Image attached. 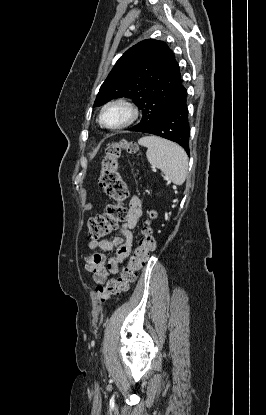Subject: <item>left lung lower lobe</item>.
Segmentation results:
<instances>
[{
    "mask_svg": "<svg viewBox=\"0 0 266 415\" xmlns=\"http://www.w3.org/2000/svg\"><path fill=\"white\" fill-rule=\"evenodd\" d=\"M141 132L158 135L177 142L189 155L190 128L188 122L186 89H183L180 96L160 119Z\"/></svg>",
    "mask_w": 266,
    "mask_h": 415,
    "instance_id": "left-lung-lower-lobe-1",
    "label": "left lung lower lobe"
}]
</instances>
